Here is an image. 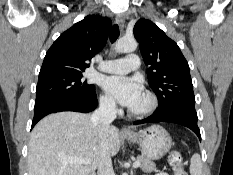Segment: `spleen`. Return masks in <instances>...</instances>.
<instances>
[{
  "label": "spleen",
  "mask_w": 233,
  "mask_h": 175,
  "mask_svg": "<svg viewBox=\"0 0 233 175\" xmlns=\"http://www.w3.org/2000/svg\"><path fill=\"white\" fill-rule=\"evenodd\" d=\"M191 175H202V162L199 154H194L190 164Z\"/></svg>",
  "instance_id": "obj_1"
}]
</instances>
